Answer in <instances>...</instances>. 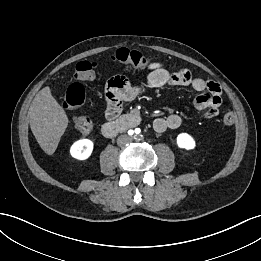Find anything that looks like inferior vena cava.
<instances>
[{
	"label": "inferior vena cava",
	"mask_w": 261,
	"mask_h": 261,
	"mask_svg": "<svg viewBox=\"0 0 261 261\" xmlns=\"http://www.w3.org/2000/svg\"><path fill=\"white\" fill-rule=\"evenodd\" d=\"M131 141H132V138L130 136H128V135H121L117 139V144L121 146V145L129 143Z\"/></svg>",
	"instance_id": "1"
}]
</instances>
